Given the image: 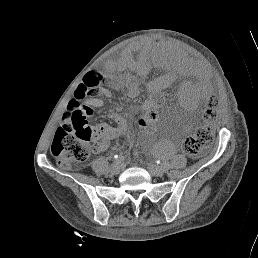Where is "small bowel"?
<instances>
[{"mask_svg":"<svg viewBox=\"0 0 258 258\" xmlns=\"http://www.w3.org/2000/svg\"><path fill=\"white\" fill-rule=\"evenodd\" d=\"M130 60H131L130 57L127 56L122 60V63L127 64L130 62ZM109 66H112V64H109ZM90 103L95 106L99 105V101L97 99H91ZM87 113L90 114L91 110H87ZM114 136H115V130L106 126H104L103 128H99V136L96 139L98 140V142L95 145L94 150L96 152H101L106 150L109 146V141L113 139ZM149 140L150 139L147 136L144 138L145 142H149ZM159 148L161 149V151H165L167 155H172L175 150L174 145L171 143L160 145Z\"/></svg>","mask_w":258,"mask_h":258,"instance_id":"small-bowel-1","label":"small bowel"}]
</instances>
